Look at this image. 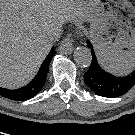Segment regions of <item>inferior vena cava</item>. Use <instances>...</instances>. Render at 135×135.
Wrapping results in <instances>:
<instances>
[{"label":"inferior vena cava","mask_w":135,"mask_h":135,"mask_svg":"<svg viewBox=\"0 0 135 135\" xmlns=\"http://www.w3.org/2000/svg\"><path fill=\"white\" fill-rule=\"evenodd\" d=\"M61 36V32H55L54 34L50 35L46 40V45L48 47H52V45L59 40Z\"/></svg>","instance_id":"602c4592"}]
</instances>
